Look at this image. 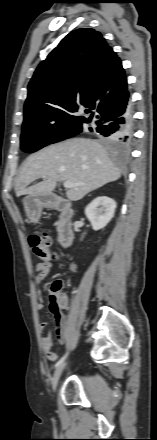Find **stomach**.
<instances>
[{
    "instance_id": "obj_1",
    "label": "stomach",
    "mask_w": 157,
    "mask_h": 440,
    "mask_svg": "<svg viewBox=\"0 0 157 440\" xmlns=\"http://www.w3.org/2000/svg\"><path fill=\"white\" fill-rule=\"evenodd\" d=\"M26 214L31 222H37L43 207L47 205L46 198L43 195H28L24 201Z\"/></svg>"
}]
</instances>
